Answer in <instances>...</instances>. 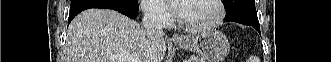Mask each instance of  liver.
<instances>
[{
    "label": "liver",
    "instance_id": "1",
    "mask_svg": "<svg viewBox=\"0 0 331 62\" xmlns=\"http://www.w3.org/2000/svg\"><path fill=\"white\" fill-rule=\"evenodd\" d=\"M163 36H152L135 21L108 9L77 15L67 30L64 62H110L108 56L136 54L141 62H162Z\"/></svg>",
    "mask_w": 331,
    "mask_h": 62
}]
</instances>
